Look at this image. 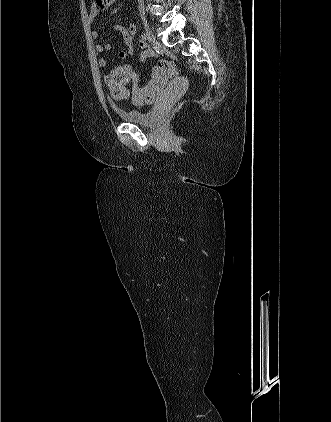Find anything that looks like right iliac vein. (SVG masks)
<instances>
[{"label": "right iliac vein", "instance_id": "obj_1", "mask_svg": "<svg viewBox=\"0 0 331 422\" xmlns=\"http://www.w3.org/2000/svg\"><path fill=\"white\" fill-rule=\"evenodd\" d=\"M142 21H143V25H144V29H145V35L147 37V39L153 43V44H157L156 38L147 22V20L145 19V17H142Z\"/></svg>", "mask_w": 331, "mask_h": 422}]
</instances>
